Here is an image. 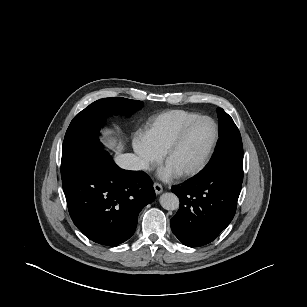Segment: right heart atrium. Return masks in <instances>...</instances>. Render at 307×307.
<instances>
[{
    "label": "right heart atrium",
    "mask_w": 307,
    "mask_h": 307,
    "mask_svg": "<svg viewBox=\"0 0 307 307\" xmlns=\"http://www.w3.org/2000/svg\"><path fill=\"white\" fill-rule=\"evenodd\" d=\"M133 148L143 171L151 170L161 162L162 155L152 148L144 135L134 137Z\"/></svg>",
    "instance_id": "obj_1"
}]
</instances>
